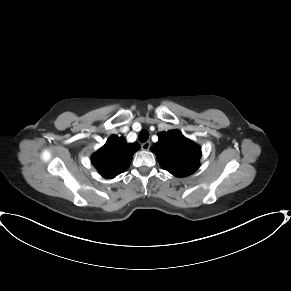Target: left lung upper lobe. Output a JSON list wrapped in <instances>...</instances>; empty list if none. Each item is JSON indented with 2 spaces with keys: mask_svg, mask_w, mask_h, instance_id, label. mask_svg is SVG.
<instances>
[{
  "mask_svg": "<svg viewBox=\"0 0 291 291\" xmlns=\"http://www.w3.org/2000/svg\"><path fill=\"white\" fill-rule=\"evenodd\" d=\"M159 141L151 147L160 166L177 177L194 173L199 167L201 149L178 130L158 134Z\"/></svg>",
  "mask_w": 291,
  "mask_h": 291,
  "instance_id": "1",
  "label": "left lung upper lobe"
}]
</instances>
